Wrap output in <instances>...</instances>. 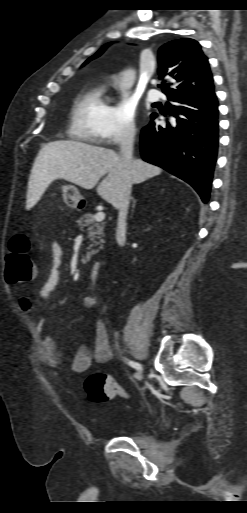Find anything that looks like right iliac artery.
Masks as SVG:
<instances>
[{"instance_id": "82829eb1", "label": "right iliac artery", "mask_w": 247, "mask_h": 513, "mask_svg": "<svg viewBox=\"0 0 247 513\" xmlns=\"http://www.w3.org/2000/svg\"><path fill=\"white\" fill-rule=\"evenodd\" d=\"M128 365L131 366L132 368L136 369V370H142V366L137 363V362H134L132 360H128L127 361Z\"/></svg>"}]
</instances>
